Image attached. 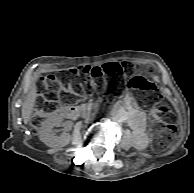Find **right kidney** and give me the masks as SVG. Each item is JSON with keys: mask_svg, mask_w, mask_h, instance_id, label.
Returning <instances> with one entry per match:
<instances>
[{"mask_svg": "<svg viewBox=\"0 0 194 193\" xmlns=\"http://www.w3.org/2000/svg\"><path fill=\"white\" fill-rule=\"evenodd\" d=\"M61 118L52 113L50 116L42 123L39 130V139L51 148H58L66 146L70 141L69 133H62L60 136H56L53 132L54 127H59L61 125Z\"/></svg>", "mask_w": 194, "mask_h": 193, "instance_id": "ca27d5eb", "label": "right kidney"}]
</instances>
